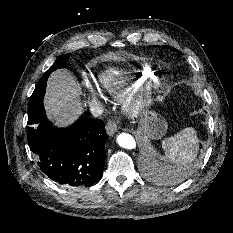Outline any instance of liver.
Wrapping results in <instances>:
<instances>
[{"label": "liver", "mask_w": 233, "mask_h": 233, "mask_svg": "<svg viewBox=\"0 0 233 233\" xmlns=\"http://www.w3.org/2000/svg\"><path fill=\"white\" fill-rule=\"evenodd\" d=\"M44 105L48 116L62 126L72 123L82 114L79 85L69 70H56L50 75Z\"/></svg>", "instance_id": "6515ba94"}]
</instances>
